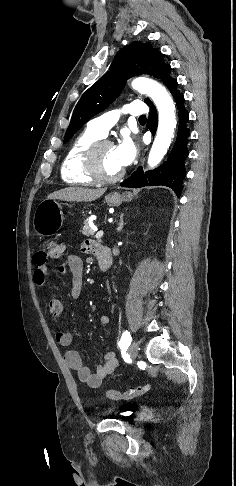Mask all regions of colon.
Listing matches in <instances>:
<instances>
[{
    "instance_id": "obj_1",
    "label": "colon",
    "mask_w": 236,
    "mask_h": 486,
    "mask_svg": "<svg viewBox=\"0 0 236 486\" xmlns=\"http://www.w3.org/2000/svg\"><path fill=\"white\" fill-rule=\"evenodd\" d=\"M65 252V245L54 240H48L44 244V249L41 252L43 258L47 260H58ZM151 390L149 384L132 387L127 391H117L109 389L106 391L107 398L111 400H130L136 397L147 394Z\"/></svg>"
}]
</instances>
